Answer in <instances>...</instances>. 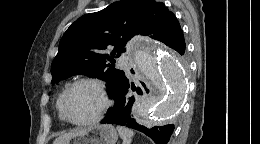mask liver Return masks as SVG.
<instances>
[{"instance_id":"obj_1","label":"liver","mask_w":260,"mask_h":144,"mask_svg":"<svg viewBox=\"0 0 260 144\" xmlns=\"http://www.w3.org/2000/svg\"><path fill=\"white\" fill-rule=\"evenodd\" d=\"M83 131V129H77L75 131L66 133L58 138L55 139V141L53 142V144H67V142L73 138L74 136L78 135L79 133H81Z\"/></svg>"}]
</instances>
